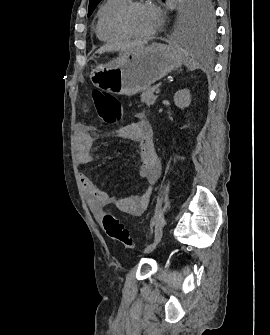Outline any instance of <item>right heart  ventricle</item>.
<instances>
[{
    "mask_svg": "<svg viewBox=\"0 0 270 335\" xmlns=\"http://www.w3.org/2000/svg\"><path fill=\"white\" fill-rule=\"evenodd\" d=\"M128 2L122 0H106L97 13L95 34L99 40L105 43H114L127 38L121 34L115 25V16L120 8ZM150 78V77H137Z\"/></svg>",
    "mask_w": 270,
    "mask_h": 335,
    "instance_id": "obj_1",
    "label": "right heart ventricle"
}]
</instances>
